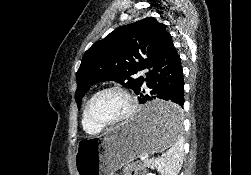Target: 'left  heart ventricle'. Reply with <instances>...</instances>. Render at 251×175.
Here are the masks:
<instances>
[{
  "mask_svg": "<svg viewBox=\"0 0 251 175\" xmlns=\"http://www.w3.org/2000/svg\"><path fill=\"white\" fill-rule=\"evenodd\" d=\"M128 110L125 95L117 90L100 94L92 104V116L104 123H114L124 117Z\"/></svg>",
  "mask_w": 251,
  "mask_h": 175,
  "instance_id": "b2bd125f",
  "label": "left heart ventricle"
}]
</instances>
